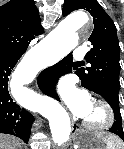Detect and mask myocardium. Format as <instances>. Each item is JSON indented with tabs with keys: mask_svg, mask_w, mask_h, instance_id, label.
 Here are the masks:
<instances>
[{
	"mask_svg": "<svg viewBox=\"0 0 124 149\" xmlns=\"http://www.w3.org/2000/svg\"><path fill=\"white\" fill-rule=\"evenodd\" d=\"M93 105L100 109L101 118L98 121L85 119L83 125L90 131L102 132L110 129L115 122V112L112 106L104 99H96Z\"/></svg>",
	"mask_w": 124,
	"mask_h": 149,
	"instance_id": "1",
	"label": "myocardium"
}]
</instances>
